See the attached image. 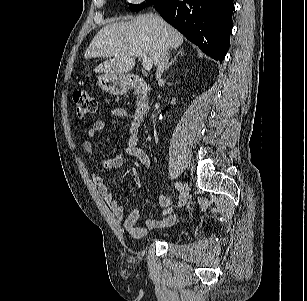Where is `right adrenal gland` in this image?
I'll list each match as a JSON object with an SVG mask.
<instances>
[{
  "mask_svg": "<svg viewBox=\"0 0 307 301\" xmlns=\"http://www.w3.org/2000/svg\"><path fill=\"white\" fill-rule=\"evenodd\" d=\"M178 55L183 56L184 55V51L183 49H180L179 52L174 56V58L168 63V65L166 66V70L169 69V67L174 63V61L176 60V58L178 57Z\"/></svg>",
  "mask_w": 307,
  "mask_h": 301,
  "instance_id": "2a0ac1e0",
  "label": "right adrenal gland"
}]
</instances>
